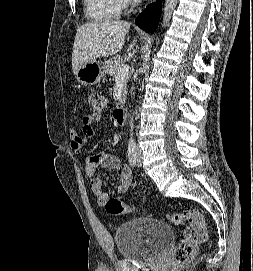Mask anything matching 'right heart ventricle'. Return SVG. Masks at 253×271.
Returning a JSON list of instances; mask_svg holds the SVG:
<instances>
[{
    "label": "right heart ventricle",
    "mask_w": 253,
    "mask_h": 271,
    "mask_svg": "<svg viewBox=\"0 0 253 271\" xmlns=\"http://www.w3.org/2000/svg\"><path fill=\"white\" fill-rule=\"evenodd\" d=\"M88 17L97 21L117 18L122 7L117 0H84Z\"/></svg>",
    "instance_id": "1"
}]
</instances>
